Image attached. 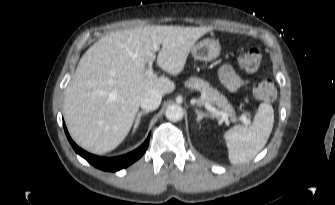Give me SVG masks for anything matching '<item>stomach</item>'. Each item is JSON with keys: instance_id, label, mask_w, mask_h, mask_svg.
I'll list each match as a JSON object with an SVG mask.
<instances>
[{"instance_id": "stomach-1", "label": "stomach", "mask_w": 335, "mask_h": 205, "mask_svg": "<svg viewBox=\"0 0 335 205\" xmlns=\"http://www.w3.org/2000/svg\"><path fill=\"white\" fill-rule=\"evenodd\" d=\"M221 46L215 39L206 38L195 44L191 50V54L195 60L212 61L219 57Z\"/></svg>"}]
</instances>
